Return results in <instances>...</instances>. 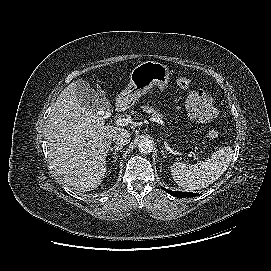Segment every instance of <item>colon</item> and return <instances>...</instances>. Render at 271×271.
<instances>
[{"label": "colon", "mask_w": 271, "mask_h": 271, "mask_svg": "<svg viewBox=\"0 0 271 271\" xmlns=\"http://www.w3.org/2000/svg\"><path fill=\"white\" fill-rule=\"evenodd\" d=\"M177 84L182 89H189L192 86V81L188 77H180L177 80ZM219 135V130L216 128L210 129L208 131V137L210 139H215Z\"/></svg>", "instance_id": "colon-1"}]
</instances>
